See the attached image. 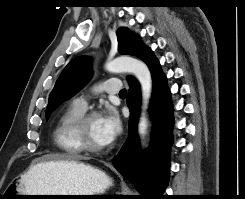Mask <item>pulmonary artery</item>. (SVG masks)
<instances>
[{
  "label": "pulmonary artery",
  "instance_id": "e3ab8cb5",
  "mask_svg": "<svg viewBox=\"0 0 245 199\" xmlns=\"http://www.w3.org/2000/svg\"><path fill=\"white\" fill-rule=\"evenodd\" d=\"M98 88L101 92L112 95L121 91L122 83L118 79H108L101 83ZM73 105L85 110L87 105L86 98L80 97L75 99Z\"/></svg>",
  "mask_w": 245,
  "mask_h": 199
}]
</instances>
